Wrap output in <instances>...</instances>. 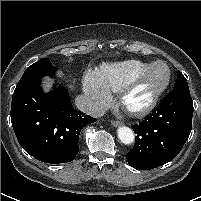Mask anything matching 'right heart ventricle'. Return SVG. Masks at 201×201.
I'll return each mask as SVG.
<instances>
[{
	"mask_svg": "<svg viewBox=\"0 0 201 201\" xmlns=\"http://www.w3.org/2000/svg\"><path fill=\"white\" fill-rule=\"evenodd\" d=\"M150 64L139 60H125L104 64L97 73L111 91L119 93L127 82Z\"/></svg>",
	"mask_w": 201,
	"mask_h": 201,
	"instance_id": "obj_1",
	"label": "right heart ventricle"
}]
</instances>
